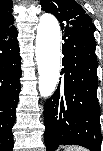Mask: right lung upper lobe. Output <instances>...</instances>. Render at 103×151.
Returning <instances> with one entry per match:
<instances>
[{"mask_svg":"<svg viewBox=\"0 0 103 151\" xmlns=\"http://www.w3.org/2000/svg\"><path fill=\"white\" fill-rule=\"evenodd\" d=\"M12 1L1 0L0 1V34L10 33L16 30L14 24V17L12 15Z\"/></svg>","mask_w":103,"mask_h":151,"instance_id":"1","label":"right lung upper lobe"}]
</instances>
